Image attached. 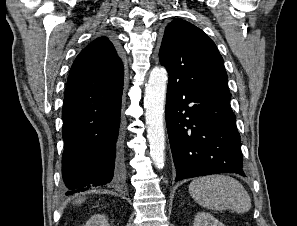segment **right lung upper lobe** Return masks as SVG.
Segmentation results:
<instances>
[{"instance_id":"right-lung-upper-lobe-1","label":"right lung upper lobe","mask_w":297,"mask_h":226,"mask_svg":"<svg viewBox=\"0 0 297 226\" xmlns=\"http://www.w3.org/2000/svg\"><path fill=\"white\" fill-rule=\"evenodd\" d=\"M124 70L113 44L99 37L75 59L67 80L65 97L123 84Z\"/></svg>"}]
</instances>
